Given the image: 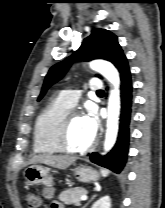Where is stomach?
<instances>
[{
	"label": "stomach",
	"mask_w": 165,
	"mask_h": 208,
	"mask_svg": "<svg viewBox=\"0 0 165 208\" xmlns=\"http://www.w3.org/2000/svg\"><path fill=\"white\" fill-rule=\"evenodd\" d=\"M73 171L78 181L82 183L97 181L100 178V173L91 167L80 165ZM24 177L28 185L49 187L53 184L51 169L41 165L28 166L24 171Z\"/></svg>",
	"instance_id": "1"
}]
</instances>
